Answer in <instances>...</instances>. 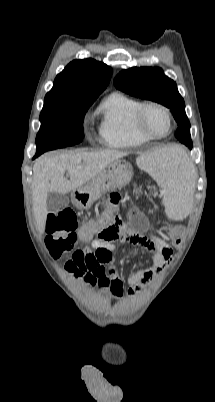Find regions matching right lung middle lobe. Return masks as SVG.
Instances as JSON below:
<instances>
[{
    "label": "right lung middle lobe",
    "instance_id": "obj_1",
    "mask_svg": "<svg viewBox=\"0 0 215 402\" xmlns=\"http://www.w3.org/2000/svg\"><path fill=\"white\" fill-rule=\"evenodd\" d=\"M95 100L96 98H45L34 158L48 150L80 143L84 138V115Z\"/></svg>",
    "mask_w": 215,
    "mask_h": 402
}]
</instances>
